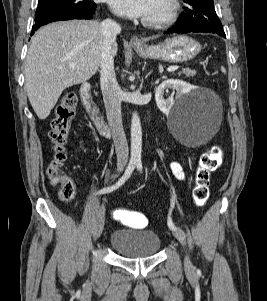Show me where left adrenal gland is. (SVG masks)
<instances>
[{
  "label": "left adrenal gland",
  "mask_w": 267,
  "mask_h": 301,
  "mask_svg": "<svg viewBox=\"0 0 267 301\" xmlns=\"http://www.w3.org/2000/svg\"><path fill=\"white\" fill-rule=\"evenodd\" d=\"M150 74H151V71L145 76V78H147Z\"/></svg>",
  "instance_id": "1"
}]
</instances>
